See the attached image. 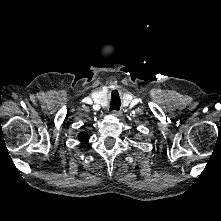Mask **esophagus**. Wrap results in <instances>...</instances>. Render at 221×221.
<instances>
[{"instance_id": "34e87169", "label": "esophagus", "mask_w": 221, "mask_h": 221, "mask_svg": "<svg viewBox=\"0 0 221 221\" xmlns=\"http://www.w3.org/2000/svg\"><path fill=\"white\" fill-rule=\"evenodd\" d=\"M112 115L113 116H122V111L121 110H118V111L117 110H113L112 111Z\"/></svg>"}]
</instances>
